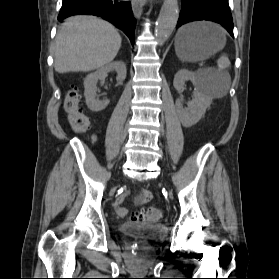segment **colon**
<instances>
[{"mask_svg": "<svg viewBox=\"0 0 279 279\" xmlns=\"http://www.w3.org/2000/svg\"><path fill=\"white\" fill-rule=\"evenodd\" d=\"M82 94L78 86L72 85L66 92L64 110L71 128L77 133H85L90 127V119L81 107ZM162 217L156 207H147L130 215L132 221L155 222Z\"/></svg>", "mask_w": 279, "mask_h": 279, "instance_id": "5ec220e1", "label": "colon"}]
</instances>
